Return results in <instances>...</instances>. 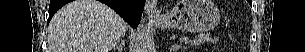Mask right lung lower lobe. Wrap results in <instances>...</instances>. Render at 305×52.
<instances>
[{
  "mask_svg": "<svg viewBox=\"0 0 305 52\" xmlns=\"http://www.w3.org/2000/svg\"><path fill=\"white\" fill-rule=\"evenodd\" d=\"M71 0H51L49 6L50 22L53 15L62 6ZM116 11L124 20H126L133 28H136L140 22L142 12L145 5V0H99Z\"/></svg>",
  "mask_w": 305,
  "mask_h": 52,
  "instance_id": "right-lung-lower-lobe-1",
  "label": "right lung lower lobe"
}]
</instances>
